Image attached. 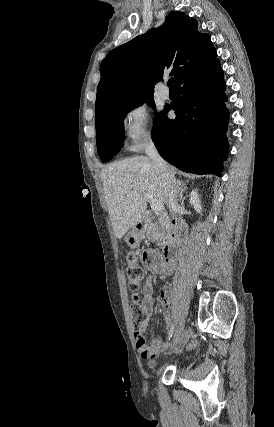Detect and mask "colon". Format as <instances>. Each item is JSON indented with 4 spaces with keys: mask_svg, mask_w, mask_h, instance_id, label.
Here are the masks:
<instances>
[{
    "mask_svg": "<svg viewBox=\"0 0 274 427\" xmlns=\"http://www.w3.org/2000/svg\"><path fill=\"white\" fill-rule=\"evenodd\" d=\"M145 261V256L142 253L131 251L127 257V282L131 294H135L139 290V286L143 279L142 265ZM130 312L134 319H141L144 316L143 308L136 301L131 302Z\"/></svg>",
    "mask_w": 274,
    "mask_h": 427,
    "instance_id": "1",
    "label": "colon"
}]
</instances>
